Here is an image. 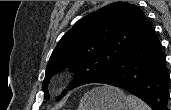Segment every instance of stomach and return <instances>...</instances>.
<instances>
[{
    "label": "stomach",
    "mask_w": 171,
    "mask_h": 110,
    "mask_svg": "<svg viewBox=\"0 0 171 110\" xmlns=\"http://www.w3.org/2000/svg\"><path fill=\"white\" fill-rule=\"evenodd\" d=\"M124 93L115 87H97L82 98L78 110H130Z\"/></svg>",
    "instance_id": "stomach-1"
}]
</instances>
